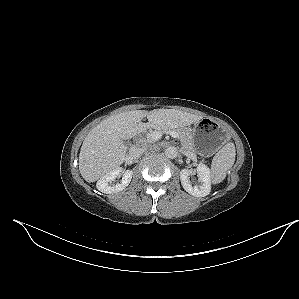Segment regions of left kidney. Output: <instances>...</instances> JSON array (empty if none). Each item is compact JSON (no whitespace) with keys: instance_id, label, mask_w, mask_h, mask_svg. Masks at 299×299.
I'll return each mask as SVG.
<instances>
[{"instance_id":"left-kidney-1","label":"left kidney","mask_w":299,"mask_h":299,"mask_svg":"<svg viewBox=\"0 0 299 299\" xmlns=\"http://www.w3.org/2000/svg\"><path fill=\"white\" fill-rule=\"evenodd\" d=\"M197 174H198V180L199 184L192 186L190 182V170L183 169L180 172V180L181 184L186 192L189 194L195 196V197H205L207 196L211 191V173L210 169L205 165L200 163L197 166Z\"/></svg>"}]
</instances>
